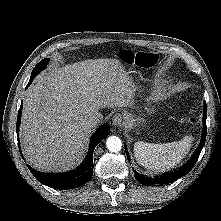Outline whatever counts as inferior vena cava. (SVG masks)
Returning a JSON list of instances; mask_svg holds the SVG:
<instances>
[{
	"label": "inferior vena cava",
	"mask_w": 221,
	"mask_h": 221,
	"mask_svg": "<svg viewBox=\"0 0 221 221\" xmlns=\"http://www.w3.org/2000/svg\"><path fill=\"white\" fill-rule=\"evenodd\" d=\"M103 119V116L100 112H97L93 114L90 119L88 120V124L90 127L94 128L96 125H98L101 120Z\"/></svg>",
	"instance_id": "inferior-vena-cava-1"
}]
</instances>
